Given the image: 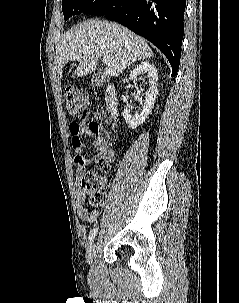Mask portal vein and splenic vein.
Masks as SVG:
<instances>
[{
    "instance_id": "1",
    "label": "portal vein and splenic vein",
    "mask_w": 239,
    "mask_h": 303,
    "mask_svg": "<svg viewBox=\"0 0 239 303\" xmlns=\"http://www.w3.org/2000/svg\"><path fill=\"white\" fill-rule=\"evenodd\" d=\"M103 62L106 64V65H109L111 63V59L109 58H103Z\"/></svg>"
}]
</instances>
